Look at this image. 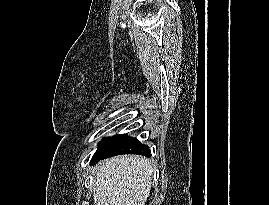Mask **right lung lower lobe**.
<instances>
[{"mask_svg": "<svg viewBox=\"0 0 269 205\" xmlns=\"http://www.w3.org/2000/svg\"><path fill=\"white\" fill-rule=\"evenodd\" d=\"M121 154H138L146 157L151 156L149 147L139 143L137 139L127 135H115L109 138H104L101 141L90 164L94 165L95 162H98L101 159Z\"/></svg>", "mask_w": 269, "mask_h": 205, "instance_id": "98d812e1", "label": "right lung lower lobe"}]
</instances>
